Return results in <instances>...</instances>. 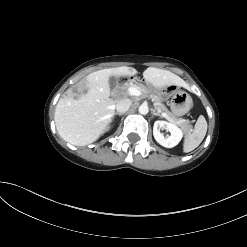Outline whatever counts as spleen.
<instances>
[{
	"instance_id": "1",
	"label": "spleen",
	"mask_w": 247,
	"mask_h": 247,
	"mask_svg": "<svg viewBox=\"0 0 247 247\" xmlns=\"http://www.w3.org/2000/svg\"><path fill=\"white\" fill-rule=\"evenodd\" d=\"M206 132H207V121L203 115H200L194 126L193 132L185 137L183 144V151L187 153L197 148L200 145V143L203 141Z\"/></svg>"
}]
</instances>
